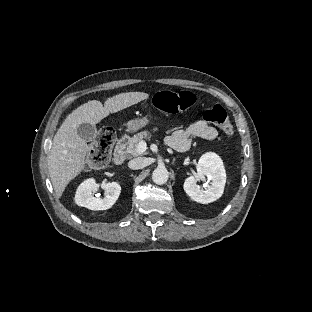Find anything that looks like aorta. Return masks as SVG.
<instances>
[{"instance_id":"aorta-1","label":"aorta","mask_w":312,"mask_h":312,"mask_svg":"<svg viewBox=\"0 0 312 312\" xmlns=\"http://www.w3.org/2000/svg\"><path fill=\"white\" fill-rule=\"evenodd\" d=\"M169 173L165 167H157L152 173V181L156 185H163L167 182Z\"/></svg>"}]
</instances>
